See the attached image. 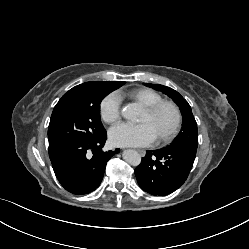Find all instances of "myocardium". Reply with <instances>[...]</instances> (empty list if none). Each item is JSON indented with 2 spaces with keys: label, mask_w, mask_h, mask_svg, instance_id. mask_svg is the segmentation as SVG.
Returning <instances> with one entry per match:
<instances>
[{
  "label": "myocardium",
  "mask_w": 249,
  "mask_h": 249,
  "mask_svg": "<svg viewBox=\"0 0 249 249\" xmlns=\"http://www.w3.org/2000/svg\"><path fill=\"white\" fill-rule=\"evenodd\" d=\"M163 108H169L170 110H172L174 114V122L171 128L166 133L157 137V140L161 143L171 141L179 132L181 124H182L181 110L179 106L172 101L162 100L152 105L144 106V110L150 115L156 114Z\"/></svg>",
  "instance_id": "f54148a6"
}]
</instances>
